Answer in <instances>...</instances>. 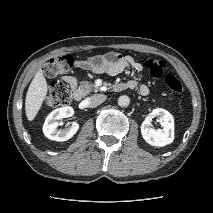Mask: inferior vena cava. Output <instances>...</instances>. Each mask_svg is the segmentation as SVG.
I'll use <instances>...</instances> for the list:
<instances>
[{
	"label": "inferior vena cava",
	"mask_w": 213,
	"mask_h": 213,
	"mask_svg": "<svg viewBox=\"0 0 213 213\" xmlns=\"http://www.w3.org/2000/svg\"><path fill=\"white\" fill-rule=\"evenodd\" d=\"M107 99V96L104 94H94L91 97L87 98L88 106L95 108Z\"/></svg>",
	"instance_id": "1"
}]
</instances>
